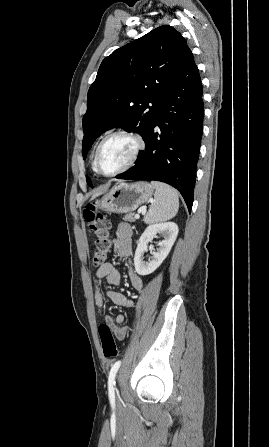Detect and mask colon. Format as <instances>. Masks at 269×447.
Instances as JSON below:
<instances>
[{"label":"colon","instance_id":"5ec220e1","mask_svg":"<svg viewBox=\"0 0 269 447\" xmlns=\"http://www.w3.org/2000/svg\"><path fill=\"white\" fill-rule=\"evenodd\" d=\"M82 216L94 236L91 262L94 266L102 265L107 261L112 246L110 221L94 205L87 206L83 210ZM97 330L104 356L107 358L117 357L119 349L114 340L111 326L102 322L98 325Z\"/></svg>","mask_w":269,"mask_h":447}]
</instances>
